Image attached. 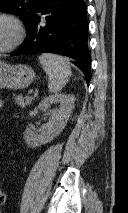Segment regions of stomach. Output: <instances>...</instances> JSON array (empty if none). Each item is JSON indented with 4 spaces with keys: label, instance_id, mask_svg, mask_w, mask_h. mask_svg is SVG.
Listing matches in <instances>:
<instances>
[{
    "label": "stomach",
    "instance_id": "1",
    "mask_svg": "<svg viewBox=\"0 0 128 213\" xmlns=\"http://www.w3.org/2000/svg\"><path fill=\"white\" fill-rule=\"evenodd\" d=\"M35 75L28 65L0 61V88L23 89L33 82Z\"/></svg>",
    "mask_w": 128,
    "mask_h": 213
}]
</instances>
